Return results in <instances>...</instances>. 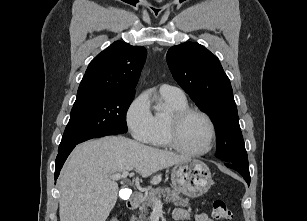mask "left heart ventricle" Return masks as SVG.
Masks as SVG:
<instances>
[{"instance_id": "1", "label": "left heart ventricle", "mask_w": 307, "mask_h": 221, "mask_svg": "<svg viewBox=\"0 0 307 221\" xmlns=\"http://www.w3.org/2000/svg\"><path fill=\"white\" fill-rule=\"evenodd\" d=\"M209 138V126L203 117L192 114L184 120L179 133V142L185 149L202 151L208 146Z\"/></svg>"}]
</instances>
